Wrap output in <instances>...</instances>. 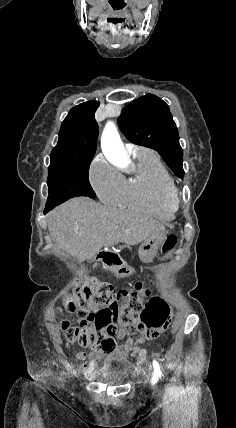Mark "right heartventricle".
Wrapping results in <instances>:
<instances>
[{"label": "right heart ventricle", "instance_id": "obj_1", "mask_svg": "<svg viewBox=\"0 0 236 428\" xmlns=\"http://www.w3.org/2000/svg\"><path fill=\"white\" fill-rule=\"evenodd\" d=\"M133 174L125 180L122 202L163 221L173 220L177 207L165 197L175 181L158 156L150 149L137 148L126 159Z\"/></svg>", "mask_w": 236, "mask_h": 428}]
</instances>
